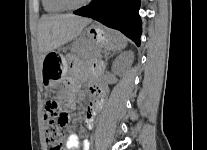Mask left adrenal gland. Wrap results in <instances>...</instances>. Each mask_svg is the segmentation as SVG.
Returning a JSON list of instances; mask_svg holds the SVG:
<instances>
[{
  "label": "left adrenal gland",
  "instance_id": "left-adrenal-gland-1",
  "mask_svg": "<svg viewBox=\"0 0 207 150\" xmlns=\"http://www.w3.org/2000/svg\"><path fill=\"white\" fill-rule=\"evenodd\" d=\"M112 56V54L105 55V64H107L108 59Z\"/></svg>",
  "mask_w": 207,
  "mask_h": 150
}]
</instances>
